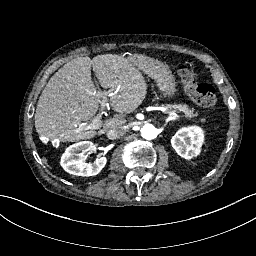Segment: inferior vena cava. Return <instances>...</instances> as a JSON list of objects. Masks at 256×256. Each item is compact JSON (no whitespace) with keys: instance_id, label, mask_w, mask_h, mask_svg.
<instances>
[{"instance_id":"1","label":"inferior vena cava","mask_w":256,"mask_h":256,"mask_svg":"<svg viewBox=\"0 0 256 256\" xmlns=\"http://www.w3.org/2000/svg\"><path fill=\"white\" fill-rule=\"evenodd\" d=\"M125 133H126V129H124L123 127H115V128L109 129L106 135L109 139L114 140V139L120 138Z\"/></svg>"}]
</instances>
